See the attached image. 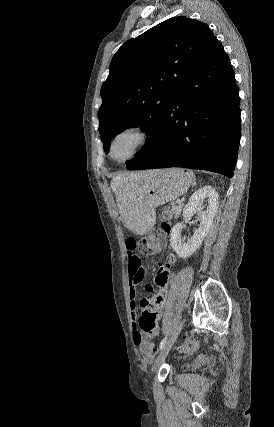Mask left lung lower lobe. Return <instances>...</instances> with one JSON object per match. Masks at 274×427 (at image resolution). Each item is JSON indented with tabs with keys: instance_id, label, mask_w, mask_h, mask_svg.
I'll return each mask as SVG.
<instances>
[{
	"instance_id": "1",
	"label": "left lung lower lobe",
	"mask_w": 274,
	"mask_h": 427,
	"mask_svg": "<svg viewBox=\"0 0 274 427\" xmlns=\"http://www.w3.org/2000/svg\"><path fill=\"white\" fill-rule=\"evenodd\" d=\"M239 104L229 57L214 37L178 88L152 147L126 167H184L231 178L241 133Z\"/></svg>"
}]
</instances>
